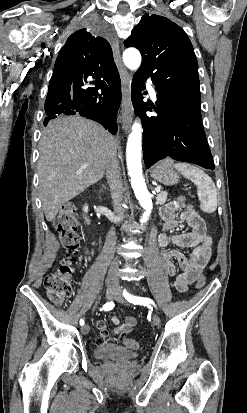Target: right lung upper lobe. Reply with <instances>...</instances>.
Wrapping results in <instances>:
<instances>
[{"instance_id":"cb5924a9","label":"right lung upper lobe","mask_w":247,"mask_h":413,"mask_svg":"<svg viewBox=\"0 0 247 413\" xmlns=\"http://www.w3.org/2000/svg\"><path fill=\"white\" fill-rule=\"evenodd\" d=\"M117 71L108 41L93 36L84 28L67 39L56 59L53 75L74 73L103 76Z\"/></svg>"}]
</instances>
